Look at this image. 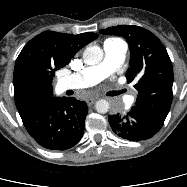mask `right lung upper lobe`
I'll use <instances>...</instances> for the list:
<instances>
[{
    "mask_svg": "<svg viewBox=\"0 0 187 187\" xmlns=\"http://www.w3.org/2000/svg\"><path fill=\"white\" fill-rule=\"evenodd\" d=\"M96 33L78 35L45 31L31 39L15 62L13 84L15 104L20 116L53 97L55 71L69 64L85 45L96 39Z\"/></svg>",
    "mask_w": 187,
    "mask_h": 187,
    "instance_id": "obj_1",
    "label": "right lung upper lobe"
}]
</instances>
